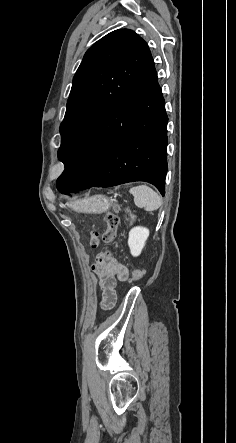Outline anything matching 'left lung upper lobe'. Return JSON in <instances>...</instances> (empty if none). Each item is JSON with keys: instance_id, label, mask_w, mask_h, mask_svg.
I'll return each mask as SVG.
<instances>
[{"instance_id": "left-lung-upper-lobe-1", "label": "left lung upper lobe", "mask_w": 236, "mask_h": 443, "mask_svg": "<svg viewBox=\"0 0 236 443\" xmlns=\"http://www.w3.org/2000/svg\"><path fill=\"white\" fill-rule=\"evenodd\" d=\"M151 57L134 31L110 32L85 53L74 75L60 126L58 158L65 165L98 119L119 99Z\"/></svg>"}]
</instances>
